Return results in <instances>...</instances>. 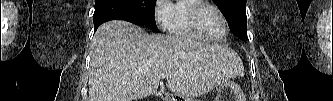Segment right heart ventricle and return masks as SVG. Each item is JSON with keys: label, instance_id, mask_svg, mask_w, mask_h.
<instances>
[{"label": "right heart ventricle", "instance_id": "right-heart-ventricle-1", "mask_svg": "<svg viewBox=\"0 0 333 101\" xmlns=\"http://www.w3.org/2000/svg\"><path fill=\"white\" fill-rule=\"evenodd\" d=\"M197 2L195 0H177L170 5L166 29L171 35L188 40H203L192 29L189 22V10Z\"/></svg>", "mask_w": 333, "mask_h": 101}]
</instances>
